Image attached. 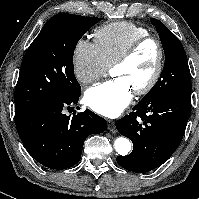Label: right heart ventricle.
Here are the masks:
<instances>
[{
  "instance_id": "right-heart-ventricle-1",
  "label": "right heart ventricle",
  "mask_w": 199,
  "mask_h": 199,
  "mask_svg": "<svg viewBox=\"0 0 199 199\" xmlns=\"http://www.w3.org/2000/svg\"><path fill=\"white\" fill-rule=\"evenodd\" d=\"M147 35L149 32L144 27L121 21L100 27L94 36L102 58L109 67L135 40Z\"/></svg>"
}]
</instances>
